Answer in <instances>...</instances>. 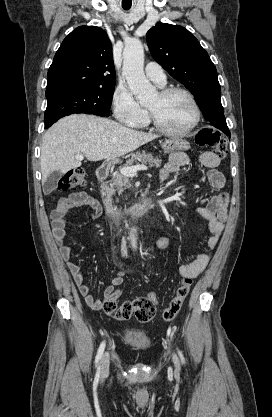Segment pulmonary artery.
<instances>
[{
    "instance_id": "pulmonary-artery-1",
    "label": "pulmonary artery",
    "mask_w": 272,
    "mask_h": 417,
    "mask_svg": "<svg viewBox=\"0 0 272 417\" xmlns=\"http://www.w3.org/2000/svg\"><path fill=\"white\" fill-rule=\"evenodd\" d=\"M145 74L149 80L162 87L166 84V75L163 68L155 63L150 62L145 67Z\"/></svg>"
}]
</instances>
